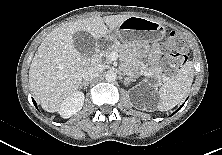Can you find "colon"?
<instances>
[{"instance_id": "1", "label": "colon", "mask_w": 222, "mask_h": 155, "mask_svg": "<svg viewBox=\"0 0 222 155\" xmlns=\"http://www.w3.org/2000/svg\"><path fill=\"white\" fill-rule=\"evenodd\" d=\"M163 69L170 74L181 68L188 59L189 52L184 40L171 34L164 43Z\"/></svg>"}]
</instances>
